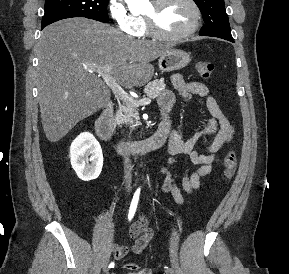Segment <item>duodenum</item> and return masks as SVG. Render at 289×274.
<instances>
[{"instance_id":"duodenum-1","label":"duodenum","mask_w":289,"mask_h":274,"mask_svg":"<svg viewBox=\"0 0 289 274\" xmlns=\"http://www.w3.org/2000/svg\"><path fill=\"white\" fill-rule=\"evenodd\" d=\"M96 133L104 142L112 141L113 132V104L108 101L96 121ZM171 130V117L164 113L157 130L148 138L133 142H119L115 144L122 154L144 153L161 148L167 141Z\"/></svg>"}]
</instances>
